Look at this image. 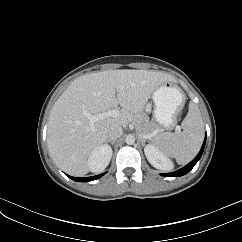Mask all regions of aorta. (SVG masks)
I'll list each match as a JSON object with an SVG mask.
<instances>
[{
	"label": "aorta",
	"mask_w": 242,
	"mask_h": 242,
	"mask_svg": "<svg viewBox=\"0 0 242 242\" xmlns=\"http://www.w3.org/2000/svg\"><path fill=\"white\" fill-rule=\"evenodd\" d=\"M125 142L126 144L128 145H132L135 143V137L133 135H127L126 138H125Z\"/></svg>",
	"instance_id": "aorta-1"
}]
</instances>
